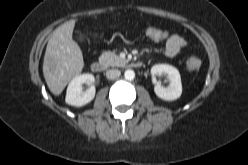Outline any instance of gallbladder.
Here are the masks:
<instances>
[{"mask_svg":"<svg viewBox=\"0 0 248 165\" xmlns=\"http://www.w3.org/2000/svg\"><path fill=\"white\" fill-rule=\"evenodd\" d=\"M83 40V37H80V41H82Z\"/></svg>","mask_w":248,"mask_h":165,"instance_id":"1","label":"gallbladder"}]
</instances>
